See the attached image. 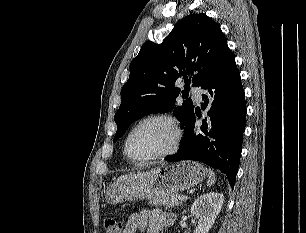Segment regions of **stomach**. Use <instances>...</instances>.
Wrapping results in <instances>:
<instances>
[{"label":"stomach","mask_w":306,"mask_h":233,"mask_svg":"<svg viewBox=\"0 0 306 233\" xmlns=\"http://www.w3.org/2000/svg\"><path fill=\"white\" fill-rule=\"evenodd\" d=\"M206 176L207 169L203 165L184 160L110 184L105 191V200L115 205L170 196L194 187Z\"/></svg>","instance_id":"stomach-1"}]
</instances>
